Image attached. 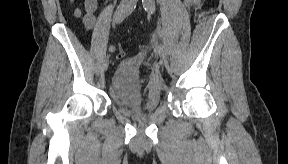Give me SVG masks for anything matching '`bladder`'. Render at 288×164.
<instances>
[{
  "label": "bladder",
  "mask_w": 288,
  "mask_h": 164,
  "mask_svg": "<svg viewBox=\"0 0 288 164\" xmlns=\"http://www.w3.org/2000/svg\"><path fill=\"white\" fill-rule=\"evenodd\" d=\"M141 56H132L114 70L109 86L111 103L123 113L155 112L159 106V93L144 88L138 76Z\"/></svg>",
  "instance_id": "31cf9c89"
}]
</instances>
